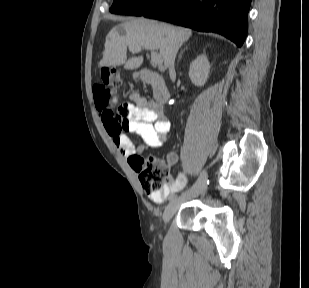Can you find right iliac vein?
I'll list each match as a JSON object with an SVG mask.
<instances>
[{
	"label": "right iliac vein",
	"mask_w": 309,
	"mask_h": 288,
	"mask_svg": "<svg viewBox=\"0 0 309 288\" xmlns=\"http://www.w3.org/2000/svg\"><path fill=\"white\" fill-rule=\"evenodd\" d=\"M206 178V172H202L201 174V180H204ZM196 194V193H195ZM186 196L176 197L175 200H170V203L165 209L163 220L165 223H167L175 214L179 206L185 201Z\"/></svg>",
	"instance_id": "right-iliac-vein-1"
}]
</instances>
